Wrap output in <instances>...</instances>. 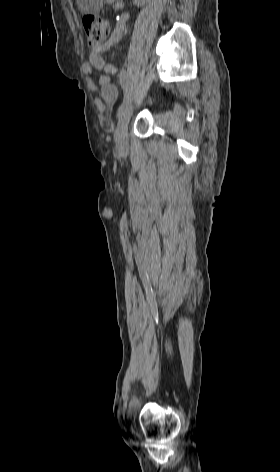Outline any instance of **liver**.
<instances>
[{"instance_id": "liver-1", "label": "liver", "mask_w": 280, "mask_h": 472, "mask_svg": "<svg viewBox=\"0 0 280 472\" xmlns=\"http://www.w3.org/2000/svg\"><path fill=\"white\" fill-rule=\"evenodd\" d=\"M106 1H107V3H113L114 2V0H106Z\"/></svg>"}]
</instances>
